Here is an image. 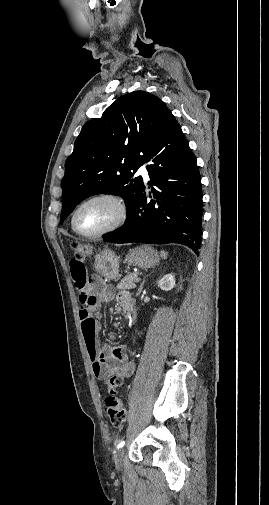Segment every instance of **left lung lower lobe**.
Segmentation results:
<instances>
[{
	"instance_id": "obj_1",
	"label": "left lung lower lobe",
	"mask_w": 269,
	"mask_h": 505,
	"mask_svg": "<svg viewBox=\"0 0 269 505\" xmlns=\"http://www.w3.org/2000/svg\"><path fill=\"white\" fill-rule=\"evenodd\" d=\"M145 162H150L146 168L151 188L146 190L142 181L130 217L104 240L179 243L198 254L202 233L201 178L196 158L170 111L150 139ZM148 197L153 199L148 201Z\"/></svg>"
}]
</instances>
